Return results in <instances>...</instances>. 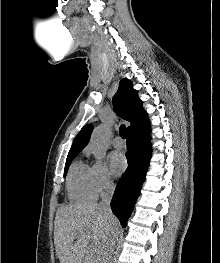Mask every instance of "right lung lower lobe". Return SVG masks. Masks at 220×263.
I'll return each mask as SVG.
<instances>
[{
  "instance_id": "right-lung-lower-lobe-1",
  "label": "right lung lower lobe",
  "mask_w": 220,
  "mask_h": 263,
  "mask_svg": "<svg viewBox=\"0 0 220 263\" xmlns=\"http://www.w3.org/2000/svg\"><path fill=\"white\" fill-rule=\"evenodd\" d=\"M150 127L127 135L128 168L120 178L111 201L113 213L125 227L140 193L151 157V148L147 134Z\"/></svg>"
}]
</instances>
